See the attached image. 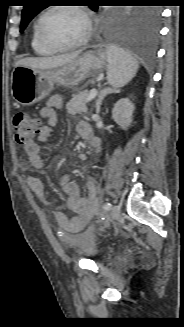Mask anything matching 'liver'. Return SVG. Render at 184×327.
<instances>
[{"label": "liver", "instance_id": "1", "mask_svg": "<svg viewBox=\"0 0 184 327\" xmlns=\"http://www.w3.org/2000/svg\"><path fill=\"white\" fill-rule=\"evenodd\" d=\"M81 51L63 54L54 57L24 58L16 62V66H25L32 69L48 70L61 67L76 59Z\"/></svg>", "mask_w": 184, "mask_h": 327}]
</instances>
